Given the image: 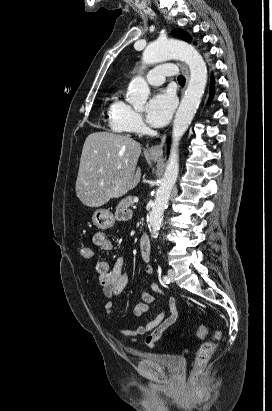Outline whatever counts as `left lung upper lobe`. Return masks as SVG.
<instances>
[{
	"label": "left lung upper lobe",
	"instance_id": "left-lung-upper-lobe-1",
	"mask_svg": "<svg viewBox=\"0 0 272 411\" xmlns=\"http://www.w3.org/2000/svg\"><path fill=\"white\" fill-rule=\"evenodd\" d=\"M172 36L176 37V38H179V39H182V40H185L187 42H191V40H192L190 35L187 32H184L181 29H174V31H172Z\"/></svg>",
	"mask_w": 272,
	"mask_h": 411
}]
</instances>
